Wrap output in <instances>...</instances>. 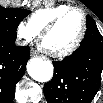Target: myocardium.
Masks as SVG:
<instances>
[{
  "label": "myocardium",
  "mask_w": 103,
  "mask_h": 103,
  "mask_svg": "<svg viewBox=\"0 0 103 103\" xmlns=\"http://www.w3.org/2000/svg\"><path fill=\"white\" fill-rule=\"evenodd\" d=\"M72 12H79L81 14L82 20H83L82 30H81L79 36L77 37V39L74 41V43L72 45H70L68 48L61 50V51H53V50H50L47 47H45L43 44L45 37L57 27V25L61 22V20L63 18H65L68 14H70ZM87 29H88V22H87L86 12L80 7H70L68 9L62 11L61 13H59L57 16H55L43 28V30L40 33V44H41L42 48L50 56L55 57V58H64V57H67V56L71 55L72 53H74L80 47V45L82 44V42L86 36Z\"/></svg>",
  "instance_id": "obj_1"
}]
</instances>
